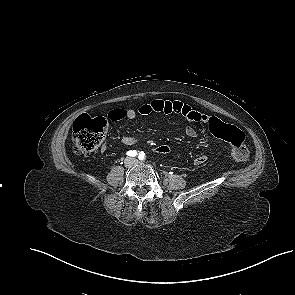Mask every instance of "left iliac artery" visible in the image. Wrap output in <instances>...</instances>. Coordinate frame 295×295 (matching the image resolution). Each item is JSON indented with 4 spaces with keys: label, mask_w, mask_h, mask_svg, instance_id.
<instances>
[{
    "label": "left iliac artery",
    "mask_w": 295,
    "mask_h": 295,
    "mask_svg": "<svg viewBox=\"0 0 295 295\" xmlns=\"http://www.w3.org/2000/svg\"><path fill=\"white\" fill-rule=\"evenodd\" d=\"M138 158H139L140 160H145V159H146L145 153H144L143 151H141V152L139 153Z\"/></svg>",
    "instance_id": "44dca946"
}]
</instances>
